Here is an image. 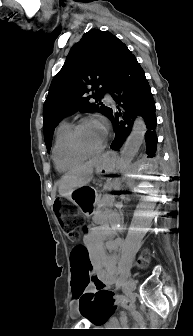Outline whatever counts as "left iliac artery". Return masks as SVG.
Returning <instances> with one entry per match:
<instances>
[{
  "label": "left iliac artery",
  "mask_w": 193,
  "mask_h": 336,
  "mask_svg": "<svg viewBox=\"0 0 193 336\" xmlns=\"http://www.w3.org/2000/svg\"><path fill=\"white\" fill-rule=\"evenodd\" d=\"M124 279L122 277H119L116 283V288H120V286L123 284Z\"/></svg>",
  "instance_id": "1"
}]
</instances>
